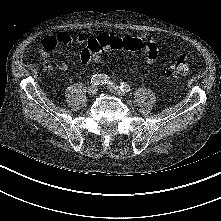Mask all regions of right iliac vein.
Wrapping results in <instances>:
<instances>
[{
	"mask_svg": "<svg viewBox=\"0 0 221 221\" xmlns=\"http://www.w3.org/2000/svg\"><path fill=\"white\" fill-rule=\"evenodd\" d=\"M97 91H98V87L96 85L89 86L87 90L89 95H94L96 94Z\"/></svg>",
	"mask_w": 221,
	"mask_h": 221,
	"instance_id": "right-iliac-vein-1",
	"label": "right iliac vein"
}]
</instances>
